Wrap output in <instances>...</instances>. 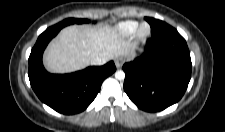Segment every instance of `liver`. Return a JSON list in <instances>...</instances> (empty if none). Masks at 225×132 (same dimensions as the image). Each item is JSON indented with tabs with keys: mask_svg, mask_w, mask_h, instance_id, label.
Wrapping results in <instances>:
<instances>
[{
	"mask_svg": "<svg viewBox=\"0 0 225 132\" xmlns=\"http://www.w3.org/2000/svg\"><path fill=\"white\" fill-rule=\"evenodd\" d=\"M133 45L112 26L72 25L61 30L48 45L43 62L52 73H68L90 65L96 57L131 58Z\"/></svg>",
	"mask_w": 225,
	"mask_h": 132,
	"instance_id": "obj_1",
	"label": "liver"
}]
</instances>
